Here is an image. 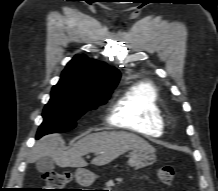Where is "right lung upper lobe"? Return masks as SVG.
<instances>
[{"label": "right lung upper lobe", "instance_id": "cb5924a9", "mask_svg": "<svg viewBox=\"0 0 218 191\" xmlns=\"http://www.w3.org/2000/svg\"><path fill=\"white\" fill-rule=\"evenodd\" d=\"M120 72L105 63L76 55L63 70L56 86L86 96L110 95L120 79Z\"/></svg>", "mask_w": 218, "mask_h": 191}]
</instances>
